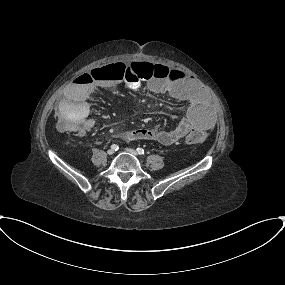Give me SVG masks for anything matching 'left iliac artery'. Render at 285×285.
I'll use <instances>...</instances> for the list:
<instances>
[{
  "label": "left iliac artery",
  "instance_id": "44dca946",
  "mask_svg": "<svg viewBox=\"0 0 285 285\" xmlns=\"http://www.w3.org/2000/svg\"><path fill=\"white\" fill-rule=\"evenodd\" d=\"M136 150H137L138 154H140V155H143L145 153L143 148L138 147Z\"/></svg>",
  "mask_w": 285,
  "mask_h": 285
}]
</instances>
